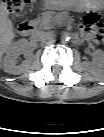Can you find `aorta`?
Here are the masks:
<instances>
[{"instance_id": "762f6f07", "label": "aorta", "mask_w": 104, "mask_h": 137, "mask_svg": "<svg viewBox=\"0 0 104 137\" xmlns=\"http://www.w3.org/2000/svg\"><path fill=\"white\" fill-rule=\"evenodd\" d=\"M56 35H57V38L60 39V40H63V41L69 40L68 32L65 31V30H62V29L58 30Z\"/></svg>"}]
</instances>
